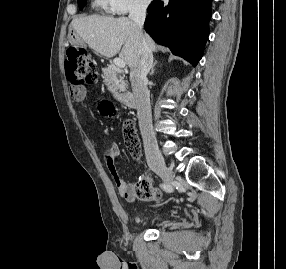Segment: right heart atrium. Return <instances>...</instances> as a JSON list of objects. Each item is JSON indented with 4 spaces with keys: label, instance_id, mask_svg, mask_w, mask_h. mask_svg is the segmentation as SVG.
<instances>
[{
    "label": "right heart atrium",
    "instance_id": "1",
    "mask_svg": "<svg viewBox=\"0 0 286 269\" xmlns=\"http://www.w3.org/2000/svg\"><path fill=\"white\" fill-rule=\"evenodd\" d=\"M150 0H109L110 10L117 15L145 11Z\"/></svg>",
    "mask_w": 286,
    "mask_h": 269
}]
</instances>
